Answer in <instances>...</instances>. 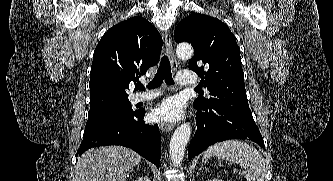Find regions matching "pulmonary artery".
<instances>
[{
    "mask_svg": "<svg viewBox=\"0 0 333 181\" xmlns=\"http://www.w3.org/2000/svg\"><path fill=\"white\" fill-rule=\"evenodd\" d=\"M177 82L181 86H190L197 84V77L192 72H179L177 74ZM159 92L157 91H151L143 94H136L133 98L134 102H143L147 100H151L157 96H159Z\"/></svg>",
    "mask_w": 333,
    "mask_h": 181,
    "instance_id": "pulmonary-artery-1",
    "label": "pulmonary artery"
}]
</instances>
